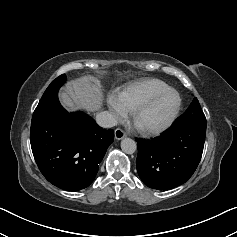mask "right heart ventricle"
I'll use <instances>...</instances> for the list:
<instances>
[{
	"label": "right heart ventricle",
	"instance_id": "right-heart-ventricle-1",
	"mask_svg": "<svg viewBox=\"0 0 237 237\" xmlns=\"http://www.w3.org/2000/svg\"><path fill=\"white\" fill-rule=\"evenodd\" d=\"M168 88L162 80L146 78L128 84L115 94V98L127 112H131L144 99Z\"/></svg>",
	"mask_w": 237,
	"mask_h": 237
}]
</instances>
